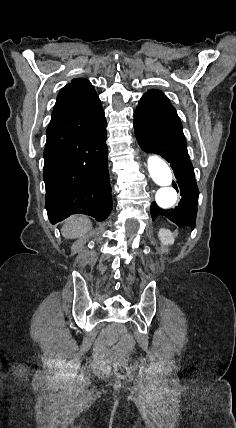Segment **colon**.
Returning <instances> with one entry per match:
<instances>
[{
  "instance_id": "colon-1",
  "label": "colon",
  "mask_w": 236,
  "mask_h": 428,
  "mask_svg": "<svg viewBox=\"0 0 236 428\" xmlns=\"http://www.w3.org/2000/svg\"><path fill=\"white\" fill-rule=\"evenodd\" d=\"M135 340L131 334H126L122 341V354L114 364V372L119 378H126L129 375V367L126 363V356L135 347Z\"/></svg>"
}]
</instances>
